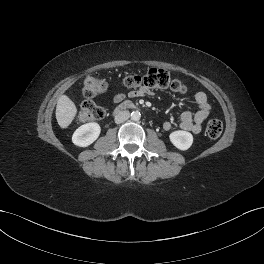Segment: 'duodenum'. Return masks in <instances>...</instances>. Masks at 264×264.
<instances>
[{"mask_svg": "<svg viewBox=\"0 0 264 264\" xmlns=\"http://www.w3.org/2000/svg\"><path fill=\"white\" fill-rule=\"evenodd\" d=\"M134 107H135L134 104L129 101L122 102L120 105L116 107V109L114 110V114H119L127 109H132Z\"/></svg>", "mask_w": 264, "mask_h": 264, "instance_id": "1", "label": "duodenum"}]
</instances>
